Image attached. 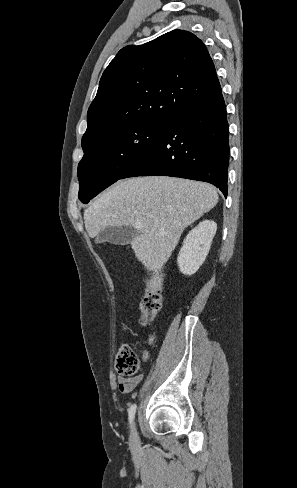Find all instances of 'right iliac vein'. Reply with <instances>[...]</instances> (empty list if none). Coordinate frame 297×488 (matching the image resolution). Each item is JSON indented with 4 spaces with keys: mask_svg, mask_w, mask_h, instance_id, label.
Returning <instances> with one entry per match:
<instances>
[{
    "mask_svg": "<svg viewBox=\"0 0 297 488\" xmlns=\"http://www.w3.org/2000/svg\"><path fill=\"white\" fill-rule=\"evenodd\" d=\"M130 443L132 446H137L138 445V433L136 430L135 423L132 426L131 430V435H130Z\"/></svg>",
    "mask_w": 297,
    "mask_h": 488,
    "instance_id": "right-iliac-vein-1",
    "label": "right iliac vein"
}]
</instances>
